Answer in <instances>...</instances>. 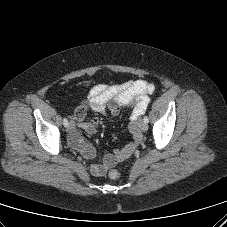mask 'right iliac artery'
Here are the masks:
<instances>
[{"label":"right iliac artery","mask_w":227,"mask_h":227,"mask_svg":"<svg viewBox=\"0 0 227 227\" xmlns=\"http://www.w3.org/2000/svg\"><path fill=\"white\" fill-rule=\"evenodd\" d=\"M63 124H64L65 127L68 126V120L66 118L63 119Z\"/></svg>","instance_id":"right-iliac-artery-1"}]
</instances>
